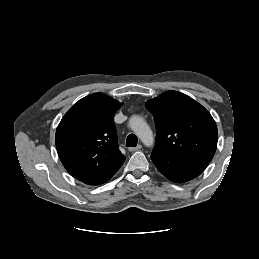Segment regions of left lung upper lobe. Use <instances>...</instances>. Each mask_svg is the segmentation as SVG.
<instances>
[{
    "label": "left lung upper lobe",
    "instance_id": "obj_1",
    "mask_svg": "<svg viewBox=\"0 0 259 259\" xmlns=\"http://www.w3.org/2000/svg\"><path fill=\"white\" fill-rule=\"evenodd\" d=\"M145 106L156 123L153 150L178 159L212 160L218 132L214 119L201 104L183 93L167 91Z\"/></svg>",
    "mask_w": 259,
    "mask_h": 259
}]
</instances>
